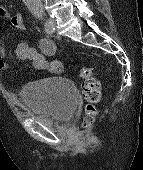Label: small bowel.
<instances>
[{"instance_id":"1","label":"small bowel","mask_w":143,"mask_h":170,"mask_svg":"<svg viewBox=\"0 0 143 170\" xmlns=\"http://www.w3.org/2000/svg\"><path fill=\"white\" fill-rule=\"evenodd\" d=\"M0 17H10V23L13 28L19 31H25L26 26L20 13L11 16L10 11L6 7L0 5ZM15 54L19 60H30L33 66L38 70L56 72L55 67L61 64L56 60H48L44 54L29 46L26 42H20L16 46ZM6 68L5 49L0 42V70H5Z\"/></svg>"}]
</instances>
